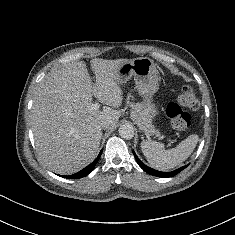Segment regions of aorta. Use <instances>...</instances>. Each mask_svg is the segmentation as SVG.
<instances>
[{
    "label": "aorta",
    "instance_id": "obj_1",
    "mask_svg": "<svg viewBox=\"0 0 235 235\" xmlns=\"http://www.w3.org/2000/svg\"><path fill=\"white\" fill-rule=\"evenodd\" d=\"M119 135L124 139H132L134 137V128L130 124H123L119 128Z\"/></svg>",
    "mask_w": 235,
    "mask_h": 235
}]
</instances>
